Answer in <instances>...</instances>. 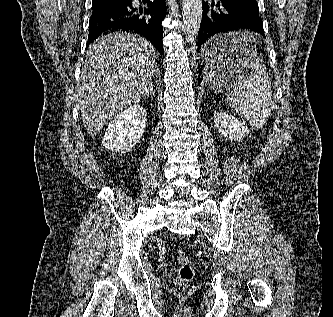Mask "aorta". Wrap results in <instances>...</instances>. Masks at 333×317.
I'll list each match as a JSON object with an SVG mask.
<instances>
[{
	"label": "aorta",
	"mask_w": 333,
	"mask_h": 317,
	"mask_svg": "<svg viewBox=\"0 0 333 317\" xmlns=\"http://www.w3.org/2000/svg\"><path fill=\"white\" fill-rule=\"evenodd\" d=\"M183 30L188 41L199 30L202 19V0H182Z\"/></svg>",
	"instance_id": "762f6f07"
}]
</instances>
